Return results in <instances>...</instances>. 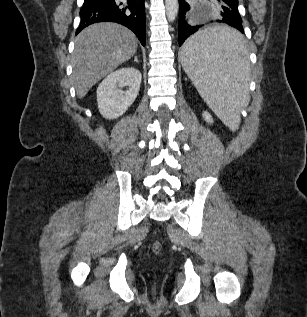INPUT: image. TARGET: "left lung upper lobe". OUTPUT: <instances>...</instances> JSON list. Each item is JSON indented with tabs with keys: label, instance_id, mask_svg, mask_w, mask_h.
<instances>
[{
	"label": "left lung upper lobe",
	"instance_id": "obj_1",
	"mask_svg": "<svg viewBox=\"0 0 307 317\" xmlns=\"http://www.w3.org/2000/svg\"><path fill=\"white\" fill-rule=\"evenodd\" d=\"M230 1L238 7V0H230Z\"/></svg>",
	"mask_w": 307,
	"mask_h": 317
}]
</instances>
